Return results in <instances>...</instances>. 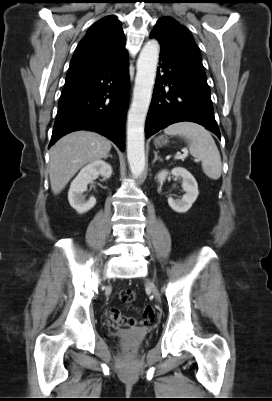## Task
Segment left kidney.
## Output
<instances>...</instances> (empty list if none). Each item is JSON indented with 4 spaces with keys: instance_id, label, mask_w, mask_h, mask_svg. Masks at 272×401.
<instances>
[{
    "instance_id": "obj_1",
    "label": "left kidney",
    "mask_w": 272,
    "mask_h": 401,
    "mask_svg": "<svg viewBox=\"0 0 272 401\" xmlns=\"http://www.w3.org/2000/svg\"><path fill=\"white\" fill-rule=\"evenodd\" d=\"M169 172L166 170L161 171L157 175V180L162 183L166 180ZM171 174L175 177H180L182 179V188L185 191V194L181 199L174 200L171 197L168 198L169 206L178 213L187 212L192 204L195 202L198 197V184L192 174L187 171L185 168L176 167L172 169Z\"/></svg>"
}]
</instances>
